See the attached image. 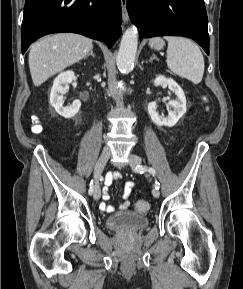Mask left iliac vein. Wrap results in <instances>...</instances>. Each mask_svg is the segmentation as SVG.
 <instances>
[{
    "label": "left iliac vein",
    "mask_w": 243,
    "mask_h": 289,
    "mask_svg": "<svg viewBox=\"0 0 243 289\" xmlns=\"http://www.w3.org/2000/svg\"><path fill=\"white\" fill-rule=\"evenodd\" d=\"M141 163V158L137 155L131 154L129 156V165L131 168L135 169L138 165ZM152 194L155 198H158L160 196V192L158 189L153 188Z\"/></svg>",
    "instance_id": "obj_1"
}]
</instances>
